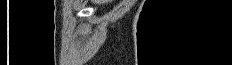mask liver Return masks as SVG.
Segmentation results:
<instances>
[{
  "label": "liver",
  "instance_id": "obj_1",
  "mask_svg": "<svg viewBox=\"0 0 232 65\" xmlns=\"http://www.w3.org/2000/svg\"><path fill=\"white\" fill-rule=\"evenodd\" d=\"M92 2H93L94 4H103V3H107L108 0H92Z\"/></svg>",
  "mask_w": 232,
  "mask_h": 65
}]
</instances>
